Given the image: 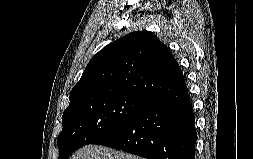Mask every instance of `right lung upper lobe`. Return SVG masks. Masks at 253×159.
Instances as JSON below:
<instances>
[{"mask_svg": "<svg viewBox=\"0 0 253 159\" xmlns=\"http://www.w3.org/2000/svg\"><path fill=\"white\" fill-rule=\"evenodd\" d=\"M185 85L169 48L147 31L132 32L90 60L70 102L98 95L133 94L151 102Z\"/></svg>", "mask_w": 253, "mask_h": 159, "instance_id": "cb5924a9", "label": "right lung upper lobe"}]
</instances>
